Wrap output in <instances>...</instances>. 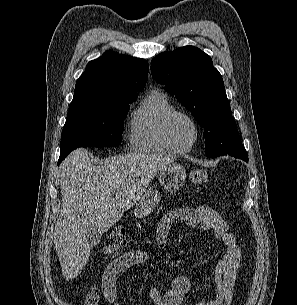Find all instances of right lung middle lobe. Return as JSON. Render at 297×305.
I'll list each match as a JSON object with an SVG mask.
<instances>
[{"label": "right lung middle lobe", "mask_w": 297, "mask_h": 305, "mask_svg": "<svg viewBox=\"0 0 297 305\" xmlns=\"http://www.w3.org/2000/svg\"><path fill=\"white\" fill-rule=\"evenodd\" d=\"M127 97L111 102L70 106L62 132L60 155L66 157L78 147H116L121 144L123 122L129 104Z\"/></svg>", "instance_id": "dd1d6c3e"}]
</instances>
